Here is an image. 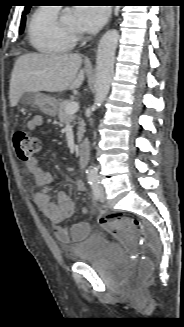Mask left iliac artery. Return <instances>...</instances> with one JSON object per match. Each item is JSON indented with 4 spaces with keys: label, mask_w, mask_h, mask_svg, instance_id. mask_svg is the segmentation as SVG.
I'll return each mask as SVG.
<instances>
[{
    "label": "left iliac artery",
    "mask_w": 184,
    "mask_h": 327,
    "mask_svg": "<svg viewBox=\"0 0 184 327\" xmlns=\"http://www.w3.org/2000/svg\"><path fill=\"white\" fill-rule=\"evenodd\" d=\"M91 188H92V192H93V197L94 199H98L99 198V180L98 179H94L91 183Z\"/></svg>",
    "instance_id": "44dca946"
}]
</instances>
